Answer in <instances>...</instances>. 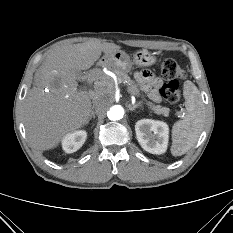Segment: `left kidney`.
I'll list each match as a JSON object with an SVG mask.
<instances>
[{"label":"left kidney","mask_w":233,"mask_h":233,"mask_svg":"<svg viewBox=\"0 0 233 233\" xmlns=\"http://www.w3.org/2000/svg\"><path fill=\"white\" fill-rule=\"evenodd\" d=\"M141 147L152 154H163L168 145L169 128L165 122L141 119L135 125Z\"/></svg>","instance_id":"5707ae66"}]
</instances>
